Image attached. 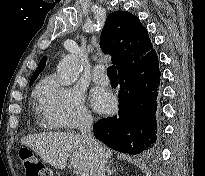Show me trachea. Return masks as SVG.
I'll return each mask as SVG.
<instances>
[{"label": "trachea", "instance_id": "3493384b", "mask_svg": "<svg viewBox=\"0 0 205 176\" xmlns=\"http://www.w3.org/2000/svg\"><path fill=\"white\" fill-rule=\"evenodd\" d=\"M107 72H108L109 77H117V71H116L115 66L112 65L108 67Z\"/></svg>", "mask_w": 205, "mask_h": 176}]
</instances>
